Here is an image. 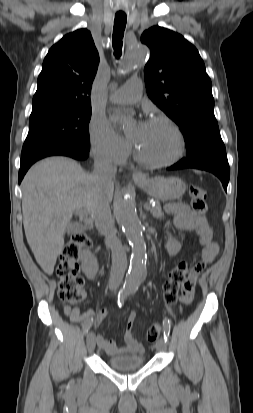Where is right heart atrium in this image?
Returning <instances> with one entry per match:
<instances>
[{"mask_svg":"<svg viewBox=\"0 0 253 413\" xmlns=\"http://www.w3.org/2000/svg\"><path fill=\"white\" fill-rule=\"evenodd\" d=\"M90 148L92 155L105 163H121L129 153V145L100 117L90 122Z\"/></svg>","mask_w":253,"mask_h":413,"instance_id":"obj_1","label":"right heart atrium"}]
</instances>
